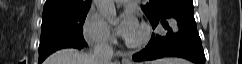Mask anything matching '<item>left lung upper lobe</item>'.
I'll use <instances>...</instances> for the list:
<instances>
[{
	"label": "left lung upper lobe",
	"mask_w": 242,
	"mask_h": 64,
	"mask_svg": "<svg viewBox=\"0 0 242 64\" xmlns=\"http://www.w3.org/2000/svg\"><path fill=\"white\" fill-rule=\"evenodd\" d=\"M183 1L185 0H149L146 5L141 6V9L151 22L166 8Z\"/></svg>",
	"instance_id": "1"
}]
</instances>
